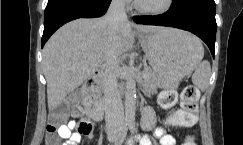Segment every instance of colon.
<instances>
[{"mask_svg": "<svg viewBox=\"0 0 243 145\" xmlns=\"http://www.w3.org/2000/svg\"><path fill=\"white\" fill-rule=\"evenodd\" d=\"M176 98L175 91H166L161 94L159 103L161 107L169 109L176 103ZM198 99L199 90L193 85L186 86L180 94V108L167 118L166 124L179 127H192L197 121L196 106ZM71 113L72 116H76L79 119L78 131L81 134L86 135L92 131L91 122L86 119H80L82 111L77 106V96L72 93L50 113L46 128V145H62L59 141L58 130ZM182 145L196 144L192 138H188Z\"/></svg>", "mask_w": 243, "mask_h": 145, "instance_id": "1", "label": "colon"}]
</instances>
